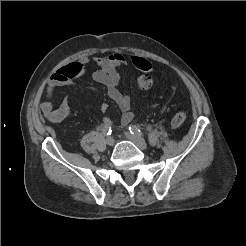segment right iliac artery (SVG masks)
<instances>
[{"mask_svg": "<svg viewBox=\"0 0 246 246\" xmlns=\"http://www.w3.org/2000/svg\"><path fill=\"white\" fill-rule=\"evenodd\" d=\"M102 131L105 135H110L112 132L111 127L107 124H104Z\"/></svg>", "mask_w": 246, "mask_h": 246, "instance_id": "obj_1", "label": "right iliac artery"}]
</instances>
